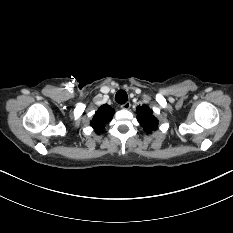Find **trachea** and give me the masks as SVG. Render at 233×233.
Here are the masks:
<instances>
[{"label":"trachea","mask_w":233,"mask_h":233,"mask_svg":"<svg viewBox=\"0 0 233 233\" xmlns=\"http://www.w3.org/2000/svg\"><path fill=\"white\" fill-rule=\"evenodd\" d=\"M115 100L119 104H124L128 100V95L124 90H119L115 95Z\"/></svg>","instance_id":"obj_1"}]
</instances>
